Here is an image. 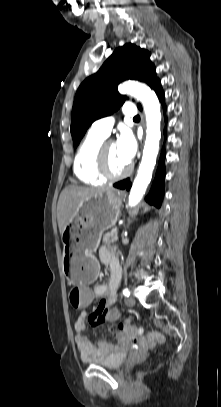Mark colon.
<instances>
[{
  "label": "colon",
  "mask_w": 221,
  "mask_h": 407,
  "mask_svg": "<svg viewBox=\"0 0 221 407\" xmlns=\"http://www.w3.org/2000/svg\"><path fill=\"white\" fill-rule=\"evenodd\" d=\"M70 303L74 306L75 311H87L88 306H91L94 298L92 283H73L69 293ZM121 311L116 305H108L105 311V320L119 322ZM130 320H121L119 327L124 337L130 340L139 342L146 348H153L164 342V337L155 331L143 333L140 330L131 328Z\"/></svg>",
  "instance_id": "colon-1"
}]
</instances>
